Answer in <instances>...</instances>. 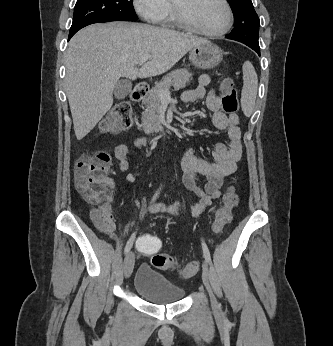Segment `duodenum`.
Returning <instances> with one entry per match:
<instances>
[{
  "label": "duodenum",
  "instance_id": "410a0bca",
  "mask_svg": "<svg viewBox=\"0 0 333 346\" xmlns=\"http://www.w3.org/2000/svg\"><path fill=\"white\" fill-rule=\"evenodd\" d=\"M146 94H147L146 86H144V85H137L133 89L131 98H132L133 101L139 102L146 96ZM164 133H165V131H157L153 135H154V137H159V136H161Z\"/></svg>",
  "mask_w": 333,
  "mask_h": 346
}]
</instances>
